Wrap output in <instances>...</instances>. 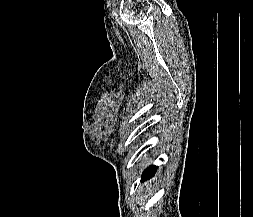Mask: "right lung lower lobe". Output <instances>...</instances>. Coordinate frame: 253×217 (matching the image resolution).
<instances>
[{"instance_id": "obj_1", "label": "right lung lower lobe", "mask_w": 253, "mask_h": 217, "mask_svg": "<svg viewBox=\"0 0 253 217\" xmlns=\"http://www.w3.org/2000/svg\"><path fill=\"white\" fill-rule=\"evenodd\" d=\"M156 166H150L145 172L142 174L141 182H144L147 179L153 177L154 173L156 172Z\"/></svg>"}]
</instances>
